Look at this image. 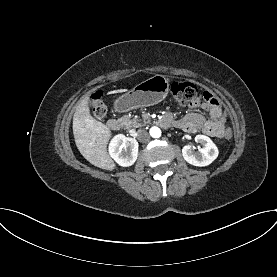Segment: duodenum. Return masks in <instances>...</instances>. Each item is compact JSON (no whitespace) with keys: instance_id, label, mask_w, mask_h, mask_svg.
<instances>
[{"instance_id":"1","label":"duodenum","mask_w":277,"mask_h":277,"mask_svg":"<svg viewBox=\"0 0 277 277\" xmlns=\"http://www.w3.org/2000/svg\"><path fill=\"white\" fill-rule=\"evenodd\" d=\"M122 125H123L122 121L117 118H112V119L108 120V122H107L108 128L113 131L119 130L122 127Z\"/></svg>"}]
</instances>
